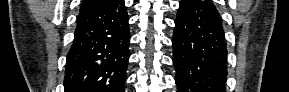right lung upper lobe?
Instances as JSON below:
<instances>
[{
    "instance_id": "1",
    "label": "right lung upper lobe",
    "mask_w": 289,
    "mask_h": 92,
    "mask_svg": "<svg viewBox=\"0 0 289 92\" xmlns=\"http://www.w3.org/2000/svg\"><path fill=\"white\" fill-rule=\"evenodd\" d=\"M113 1L115 0H83L80 12L101 8L109 5Z\"/></svg>"
}]
</instances>
